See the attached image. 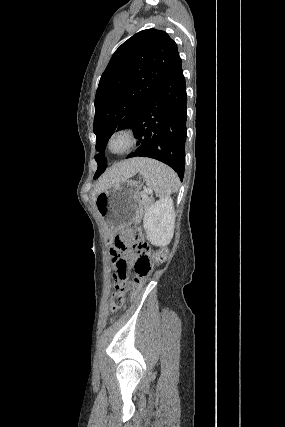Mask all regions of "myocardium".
<instances>
[{"label": "myocardium", "instance_id": "obj_1", "mask_svg": "<svg viewBox=\"0 0 285 427\" xmlns=\"http://www.w3.org/2000/svg\"><path fill=\"white\" fill-rule=\"evenodd\" d=\"M123 137L126 140V145L121 150L113 149V142L116 138ZM137 138L132 128L123 126L115 129L109 135L107 140V148L112 154H124L129 152L136 144Z\"/></svg>", "mask_w": 285, "mask_h": 427}]
</instances>
